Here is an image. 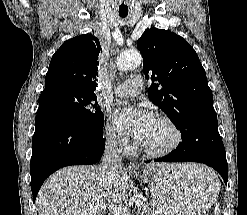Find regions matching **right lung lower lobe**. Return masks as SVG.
<instances>
[{
    "instance_id": "98d812e1",
    "label": "right lung lower lobe",
    "mask_w": 247,
    "mask_h": 215,
    "mask_svg": "<svg viewBox=\"0 0 247 215\" xmlns=\"http://www.w3.org/2000/svg\"><path fill=\"white\" fill-rule=\"evenodd\" d=\"M35 124L30 163L33 202L50 174L69 165L95 164L105 149L102 127L51 112H37Z\"/></svg>"
}]
</instances>
